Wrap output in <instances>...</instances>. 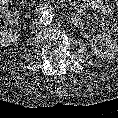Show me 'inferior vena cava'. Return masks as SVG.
Listing matches in <instances>:
<instances>
[{
    "label": "inferior vena cava",
    "mask_w": 118,
    "mask_h": 118,
    "mask_svg": "<svg viewBox=\"0 0 118 118\" xmlns=\"http://www.w3.org/2000/svg\"><path fill=\"white\" fill-rule=\"evenodd\" d=\"M35 23H36V25H41V20L37 19V20L35 21Z\"/></svg>",
    "instance_id": "obj_1"
}]
</instances>
